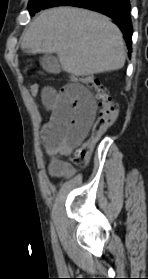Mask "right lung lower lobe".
Segmentation results:
<instances>
[{"instance_id": "obj_1", "label": "right lung lower lobe", "mask_w": 148, "mask_h": 279, "mask_svg": "<svg viewBox=\"0 0 148 279\" xmlns=\"http://www.w3.org/2000/svg\"><path fill=\"white\" fill-rule=\"evenodd\" d=\"M64 5L98 11L112 18L123 32L129 52H131L132 23L129 0H48L43 9Z\"/></svg>"}]
</instances>
